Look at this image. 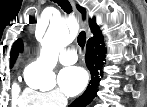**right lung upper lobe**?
Wrapping results in <instances>:
<instances>
[{"instance_id": "1", "label": "right lung upper lobe", "mask_w": 147, "mask_h": 107, "mask_svg": "<svg viewBox=\"0 0 147 107\" xmlns=\"http://www.w3.org/2000/svg\"><path fill=\"white\" fill-rule=\"evenodd\" d=\"M77 9L82 13L83 18H85L86 15V11L84 8L80 7L79 5H77ZM89 26H90V30L93 33V37H91L88 41L90 40H94L96 38L102 37L103 35L101 34V30L99 28V26L96 24L95 19H90L89 20ZM23 48V43L21 39H18L12 47L11 50V54H10V65L13 66V64L15 63L17 56L19 54V51H21Z\"/></svg>"}]
</instances>
